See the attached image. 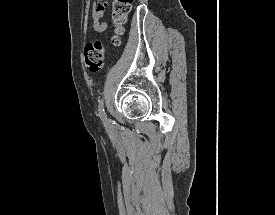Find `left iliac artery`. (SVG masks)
I'll use <instances>...</instances> for the list:
<instances>
[{
    "label": "left iliac artery",
    "instance_id": "44dca946",
    "mask_svg": "<svg viewBox=\"0 0 275 215\" xmlns=\"http://www.w3.org/2000/svg\"><path fill=\"white\" fill-rule=\"evenodd\" d=\"M98 115L100 119L104 122H107V115L104 110V101L103 99L99 100V105H98Z\"/></svg>",
    "mask_w": 275,
    "mask_h": 215
}]
</instances>
